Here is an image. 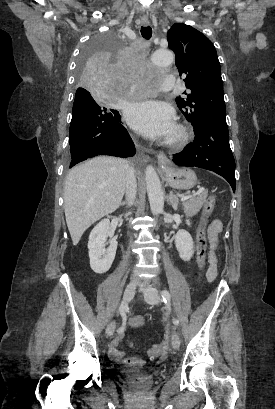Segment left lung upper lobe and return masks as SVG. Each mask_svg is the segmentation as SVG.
Masks as SVG:
<instances>
[{"instance_id": "left-lung-upper-lobe-1", "label": "left lung upper lobe", "mask_w": 275, "mask_h": 409, "mask_svg": "<svg viewBox=\"0 0 275 409\" xmlns=\"http://www.w3.org/2000/svg\"><path fill=\"white\" fill-rule=\"evenodd\" d=\"M169 48L175 52L179 74L190 93L176 103L194 129L210 121L226 123L223 82L217 53L201 32L184 23H175L167 32Z\"/></svg>"}]
</instances>
